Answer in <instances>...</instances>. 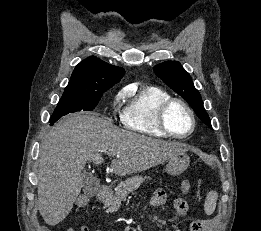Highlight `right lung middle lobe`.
Listing matches in <instances>:
<instances>
[{"label": "right lung middle lobe", "instance_id": "1", "mask_svg": "<svg viewBox=\"0 0 261 231\" xmlns=\"http://www.w3.org/2000/svg\"><path fill=\"white\" fill-rule=\"evenodd\" d=\"M104 92H64L58 105L50 118L53 125L62 116L76 111H92L98 104Z\"/></svg>", "mask_w": 261, "mask_h": 231}]
</instances>
